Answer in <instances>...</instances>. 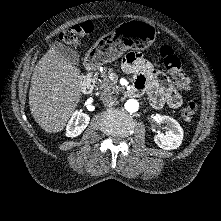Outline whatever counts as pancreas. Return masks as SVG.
<instances>
[{"label": "pancreas", "mask_w": 221, "mask_h": 221, "mask_svg": "<svg viewBox=\"0 0 221 221\" xmlns=\"http://www.w3.org/2000/svg\"><path fill=\"white\" fill-rule=\"evenodd\" d=\"M111 72V68L104 67L100 73L103 80H100L98 83H100V88L103 90V93H118L123 89L116 84V81L110 82L108 75ZM94 80H96V78Z\"/></svg>", "instance_id": "obj_1"}]
</instances>
